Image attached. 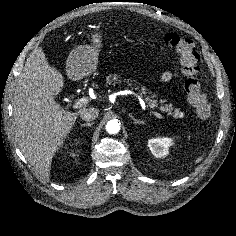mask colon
I'll return each instance as SVG.
<instances>
[{
    "label": "colon",
    "instance_id": "obj_1",
    "mask_svg": "<svg viewBox=\"0 0 236 236\" xmlns=\"http://www.w3.org/2000/svg\"><path fill=\"white\" fill-rule=\"evenodd\" d=\"M164 42L179 55L182 73L185 76L184 87L189 103L200 118L209 117L212 107L202 92L198 79L199 55L195 44L192 40L175 33L166 34Z\"/></svg>",
    "mask_w": 236,
    "mask_h": 236
}]
</instances>
